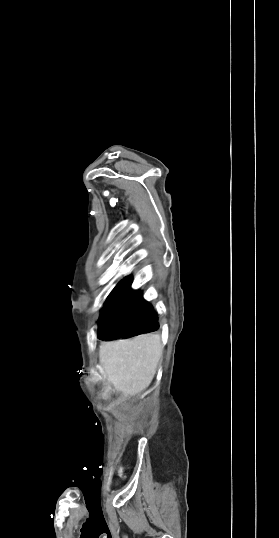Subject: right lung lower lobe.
Returning a JSON list of instances; mask_svg holds the SVG:
<instances>
[{
    "instance_id": "right-lung-lower-lobe-1",
    "label": "right lung lower lobe",
    "mask_w": 279,
    "mask_h": 538,
    "mask_svg": "<svg viewBox=\"0 0 279 538\" xmlns=\"http://www.w3.org/2000/svg\"><path fill=\"white\" fill-rule=\"evenodd\" d=\"M132 280L124 278L106 300L102 319L98 322V338L132 337L159 329L158 315L142 298L141 291L130 289Z\"/></svg>"
}]
</instances>
